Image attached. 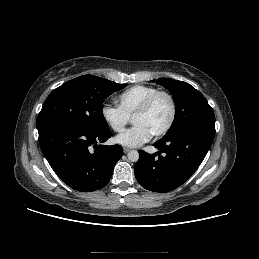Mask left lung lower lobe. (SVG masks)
<instances>
[{
  "instance_id": "1",
  "label": "left lung lower lobe",
  "mask_w": 259,
  "mask_h": 259,
  "mask_svg": "<svg viewBox=\"0 0 259 259\" xmlns=\"http://www.w3.org/2000/svg\"><path fill=\"white\" fill-rule=\"evenodd\" d=\"M215 133L188 128L164 136L153 145L154 154L139 151L134 173L139 184L154 192H169L185 183L210 149Z\"/></svg>"
}]
</instances>
